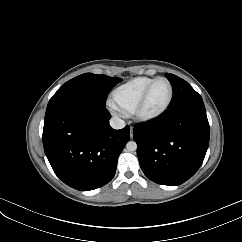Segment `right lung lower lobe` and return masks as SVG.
Wrapping results in <instances>:
<instances>
[{"label":"right lung lower lobe","instance_id":"right-lung-lower-lobe-1","mask_svg":"<svg viewBox=\"0 0 242 242\" xmlns=\"http://www.w3.org/2000/svg\"><path fill=\"white\" fill-rule=\"evenodd\" d=\"M105 105L89 100L59 104L46 111L45 154L56 175L70 187L88 191L114 177L130 127L114 130Z\"/></svg>","mask_w":242,"mask_h":242}]
</instances>
